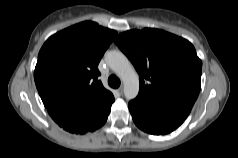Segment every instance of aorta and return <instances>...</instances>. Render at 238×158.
<instances>
[{
    "label": "aorta",
    "mask_w": 238,
    "mask_h": 158,
    "mask_svg": "<svg viewBox=\"0 0 238 158\" xmlns=\"http://www.w3.org/2000/svg\"><path fill=\"white\" fill-rule=\"evenodd\" d=\"M106 62L122 80L126 99L136 98L139 92V78L128 58L121 51L112 50L107 52Z\"/></svg>",
    "instance_id": "762f6f07"
}]
</instances>
